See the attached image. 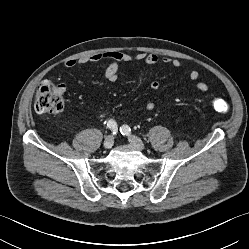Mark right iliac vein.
<instances>
[{"label":"right iliac vein","mask_w":249,"mask_h":249,"mask_svg":"<svg viewBox=\"0 0 249 249\" xmlns=\"http://www.w3.org/2000/svg\"><path fill=\"white\" fill-rule=\"evenodd\" d=\"M114 144V137L112 135H109L105 138L104 140V148L105 149H110Z\"/></svg>","instance_id":"63e3f726"}]
</instances>
